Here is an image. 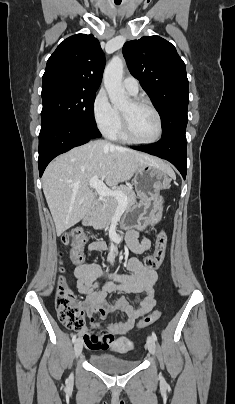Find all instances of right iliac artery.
Masks as SVG:
<instances>
[{"mask_svg":"<svg viewBox=\"0 0 235 404\" xmlns=\"http://www.w3.org/2000/svg\"><path fill=\"white\" fill-rule=\"evenodd\" d=\"M76 338H77V335H76V334H74V335H73V337H72V342H73V343H75Z\"/></svg>","mask_w":235,"mask_h":404,"instance_id":"right-iliac-artery-1","label":"right iliac artery"}]
</instances>
